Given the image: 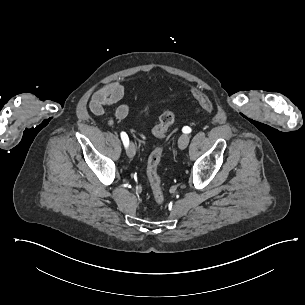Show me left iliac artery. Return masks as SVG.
Listing matches in <instances>:
<instances>
[{"label": "left iliac artery", "mask_w": 305, "mask_h": 305, "mask_svg": "<svg viewBox=\"0 0 305 305\" xmlns=\"http://www.w3.org/2000/svg\"><path fill=\"white\" fill-rule=\"evenodd\" d=\"M182 131H183L184 133H190V132H191V128L188 127V126H185V127H183Z\"/></svg>", "instance_id": "left-iliac-artery-1"}]
</instances>
